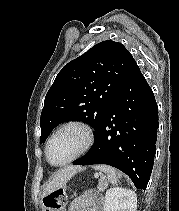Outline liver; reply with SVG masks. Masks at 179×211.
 Masks as SVG:
<instances>
[{
  "instance_id": "6515ba94",
  "label": "liver",
  "mask_w": 179,
  "mask_h": 211,
  "mask_svg": "<svg viewBox=\"0 0 179 211\" xmlns=\"http://www.w3.org/2000/svg\"><path fill=\"white\" fill-rule=\"evenodd\" d=\"M82 170L83 168L80 166H68L58 170L47 183L43 196H46L53 191L62 188L73 175Z\"/></svg>"
}]
</instances>
